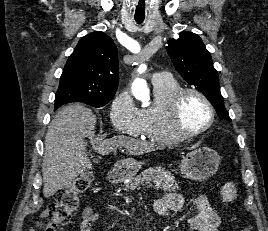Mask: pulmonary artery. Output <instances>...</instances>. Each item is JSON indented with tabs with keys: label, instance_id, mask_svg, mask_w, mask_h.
I'll list each match as a JSON object with an SVG mask.
<instances>
[{
	"label": "pulmonary artery",
	"instance_id": "e3ab8cb5",
	"mask_svg": "<svg viewBox=\"0 0 268 231\" xmlns=\"http://www.w3.org/2000/svg\"><path fill=\"white\" fill-rule=\"evenodd\" d=\"M165 76L164 72H160V73H156L154 74V76L152 77V81H157L158 79L162 78Z\"/></svg>",
	"mask_w": 268,
	"mask_h": 231
}]
</instances>
